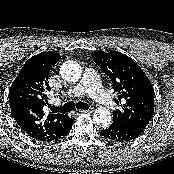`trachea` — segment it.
<instances>
[{"mask_svg": "<svg viewBox=\"0 0 174 174\" xmlns=\"http://www.w3.org/2000/svg\"><path fill=\"white\" fill-rule=\"evenodd\" d=\"M76 107L77 109H89V105L87 103L85 102L75 103L73 101L67 102L61 107H51L50 109L52 110V112L58 113V112L73 111L76 109Z\"/></svg>", "mask_w": 174, "mask_h": 174, "instance_id": "1", "label": "trachea"}]
</instances>
